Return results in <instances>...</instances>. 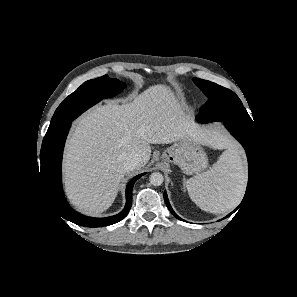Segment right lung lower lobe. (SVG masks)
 Segmentation results:
<instances>
[{"label":"right lung lower lobe","mask_w":297,"mask_h":297,"mask_svg":"<svg viewBox=\"0 0 297 297\" xmlns=\"http://www.w3.org/2000/svg\"><path fill=\"white\" fill-rule=\"evenodd\" d=\"M70 125L71 122L51 134H46L43 139L40 151L39 174H41L44 191L58 214L75 224L85 227H102L117 223L128 214L132 205L133 185L144 173L135 176L127 184L126 205L118 215L107 218H90L77 213L67 203L61 181L62 154Z\"/></svg>","instance_id":"1"}]
</instances>
